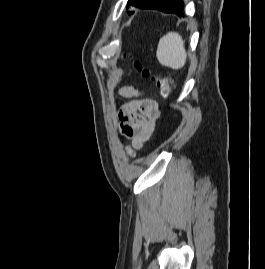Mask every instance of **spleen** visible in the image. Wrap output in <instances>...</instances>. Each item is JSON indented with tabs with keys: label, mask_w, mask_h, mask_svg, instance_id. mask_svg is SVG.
Masks as SVG:
<instances>
[{
	"label": "spleen",
	"mask_w": 265,
	"mask_h": 269,
	"mask_svg": "<svg viewBox=\"0 0 265 269\" xmlns=\"http://www.w3.org/2000/svg\"><path fill=\"white\" fill-rule=\"evenodd\" d=\"M156 56L162 65L174 70L181 69L187 57L182 37L176 32L164 35L159 40Z\"/></svg>",
	"instance_id": "1"
}]
</instances>
